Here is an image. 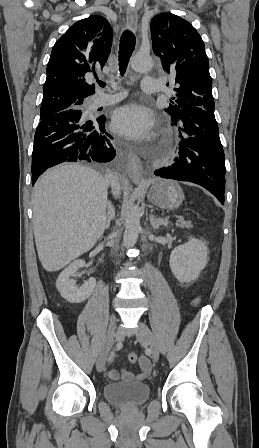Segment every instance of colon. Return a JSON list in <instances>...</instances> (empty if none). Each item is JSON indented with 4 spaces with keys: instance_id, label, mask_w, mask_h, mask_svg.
I'll use <instances>...</instances> for the list:
<instances>
[{
    "instance_id": "5ec220e1",
    "label": "colon",
    "mask_w": 259,
    "mask_h": 448,
    "mask_svg": "<svg viewBox=\"0 0 259 448\" xmlns=\"http://www.w3.org/2000/svg\"><path fill=\"white\" fill-rule=\"evenodd\" d=\"M128 360H129L131 363H136V362L139 360V357H138V355H137L136 353H130V354L128 355Z\"/></svg>"
}]
</instances>
